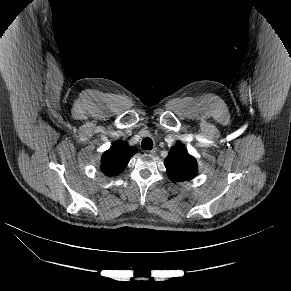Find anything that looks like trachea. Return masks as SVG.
<instances>
[{"label":"trachea","instance_id":"trachea-1","mask_svg":"<svg viewBox=\"0 0 291 291\" xmlns=\"http://www.w3.org/2000/svg\"><path fill=\"white\" fill-rule=\"evenodd\" d=\"M141 146L144 150H151L153 148V141L151 138L146 137L142 140Z\"/></svg>","mask_w":291,"mask_h":291}]
</instances>
